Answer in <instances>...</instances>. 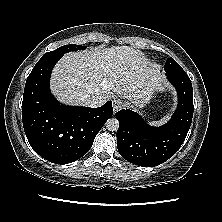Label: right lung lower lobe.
Segmentation results:
<instances>
[{
  "label": "right lung lower lobe",
  "mask_w": 222,
  "mask_h": 222,
  "mask_svg": "<svg viewBox=\"0 0 222 222\" xmlns=\"http://www.w3.org/2000/svg\"><path fill=\"white\" fill-rule=\"evenodd\" d=\"M60 56L41 58L29 74L22 101L27 139L44 159L66 164L91 148L94 138L113 115L112 101L99 108L66 106L51 94L49 82Z\"/></svg>",
  "instance_id": "98d812e1"
}]
</instances>
